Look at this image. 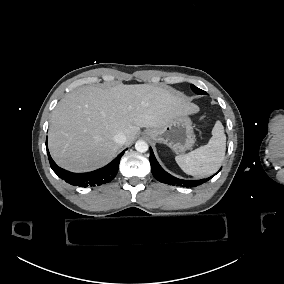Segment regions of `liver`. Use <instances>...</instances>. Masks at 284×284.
<instances>
[{
  "label": "liver",
  "mask_w": 284,
  "mask_h": 284,
  "mask_svg": "<svg viewBox=\"0 0 284 284\" xmlns=\"http://www.w3.org/2000/svg\"><path fill=\"white\" fill-rule=\"evenodd\" d=\"M172 90L148 84L94 85L76 88L57 104L51 118L49 148L55 161L72 171H89L110 161L122 145H130L140 127H162L200 108Z\"/></svg>",
  "instance_id": "liver-1"
}]
</instances>
